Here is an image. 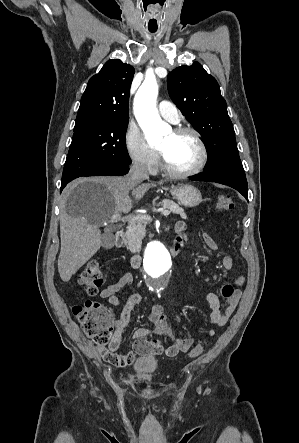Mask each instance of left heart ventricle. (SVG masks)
Returning a JSON list of instances; mask_svg holds the SVG:
<instances>
[{
  "label": "left heart ventricle",
  "mask_w": 299,
  "mask_h": 443,
  "mask_svg": "<svg viewBox=\"0 0 299 443\" xmlns=\"http://www.w3.org/2000/svg\"><path fill=\"white\" fill-rule=\"evenodd\" d=\"M166 163L174 170L185 171L197 163L199 148L190 134L175 135L170 132L158 145Z\"/></svg>",
  "instance_id": "b2bd125f"
}]
</instances>
